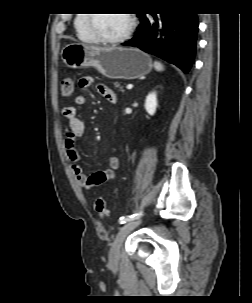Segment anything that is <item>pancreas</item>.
Here are the masks:
<instances>
[{
    "instance_id": "1",
    "label": "pancreas",
    "mask_w": 252,
    "mask_h": 303,
    "mask_svg": "<svg viewBox=\"0 0 252 303\" xmlns=\"http://www.w3.org/2000/svg\"><path fill=\"white\" fill-rule=\"evenodd\" d=\"M114 85H115V87H117V88H119L120 90L123 91V88L120 86V83L115 82Z\"/></svg>"
}]
</instances>
